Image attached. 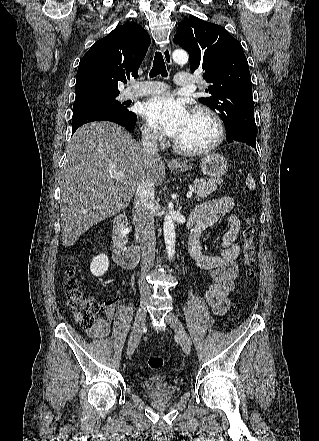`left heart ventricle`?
I'll return each mask as SVG.
<instances>
[{
  "label": "left heart ventricle",
  "instance_id": "1",
  "mask_svg": "<svg viewBox=\"0 0 319 441\" xmlns=\"http://www.w3.org/2000/svg\"><path fill=\"white\" fill-rule=\"evenodd\" d=\"M214 137L215 127L212 121L203 114L191 113L184 129L174 140L184 147L196 148L209 144Z\"/></svg>",
  "mask_w": 319,
  "mask_h": 441
}]
</instances>
